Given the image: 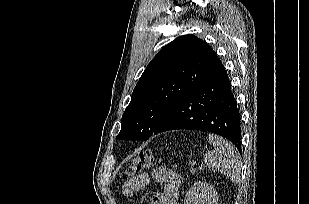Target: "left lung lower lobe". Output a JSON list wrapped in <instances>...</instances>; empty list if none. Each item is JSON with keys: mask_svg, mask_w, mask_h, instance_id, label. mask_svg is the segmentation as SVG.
I'll list each match as a JSON object with an SVG mask.
<instances>
[{"mask_svg": "<svg viewBox=\"0 0 309 204\" xmlns=\"http://www.w3.org/2000/svg\"><path fill=\"white\" fill-rule=\"evenodd\" d=\"M176 129L213 132L230 140L241 153L240 113L223 66L179 101L151 136Z\"/></svg>", "mask_w": 309, "mask_h": 204, "instance_id": "obj_1", "label": "left lung lower lobe"}]
</instances>
